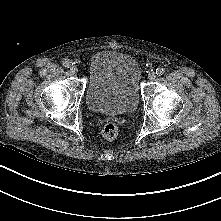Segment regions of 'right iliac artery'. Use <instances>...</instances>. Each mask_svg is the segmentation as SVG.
Wrapping results in <instances>:
<instances>
[{
	"label": "right iliac artery",
	"instance_id": "right-iliac-artery-1",
	"mask_svg": "<svg viewBox=\"0 0 221 221\" xmlns=\"http://www.w3.org/2000/svg\"><path fill=\"white\" fill-rule=\"evenodd\" d=\"M63 66L65 68H70L72 66V63L69 60H66V61L63 62Z\"/></svg>",
	"mask_w": 221,
	"mask_h": 221
}]
</instances>
